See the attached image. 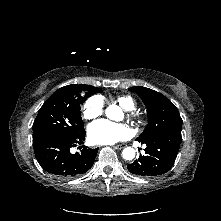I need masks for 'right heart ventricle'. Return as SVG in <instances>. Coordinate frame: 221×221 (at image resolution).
<instances>
[{"mask_svg":"<svg viewBox=\"0 0 221 221\" xmlns=\"http://www.w3.org/2000/svg\"><path fill=\"white\" fill-rule=\"evenodd\" d=\"M116 101L125 109L133 110L135 108V100L129 95H119L116 97Z\"/></svg>","mask_w":221,"mask_h":221,"instance_id":"right-heart-ventricle-1","label":"right heart ventricle"}]
</instances>
